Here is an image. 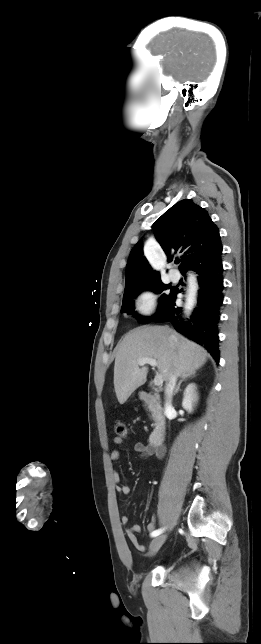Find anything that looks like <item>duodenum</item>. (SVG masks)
<instances>
[{
    "mask_svg": "<svg viewBox=\"0 0 261 644\" xmlns=\"http://www.w3.org/2000/svg\"><path fill=\"white\" fill-rule=\"evenodd\" d=\"M139 398L148 404L155 422V427L150 435L149 443L153 447H160L164 441L166 434V421L163 413V408L160 404L158 397L150 392H140Z\"/></svg>",
    "mask_w": 261,
    "mask_h": 644,
    "instance_id": "1",
    "label": "duodenum"
}]
</instances>
